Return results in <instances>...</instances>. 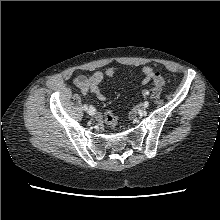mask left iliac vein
<instances>
[{
  "mask_svg": "<svg viewBox=\"0 0 220 220\" xmlns=\"http://www.w3.org/2000/svg\"><path fill=\"white\" fill-rule=\"evenodd\" d=\"M148 106H146L145 104H143V108L145 109V108H147Z\"/></svg>",
  "mask_w": 220,
  "mask_h": 220,
  "instance_id": "4c4485c4",
  "label": "left iliac vein"
}]
</instances>
